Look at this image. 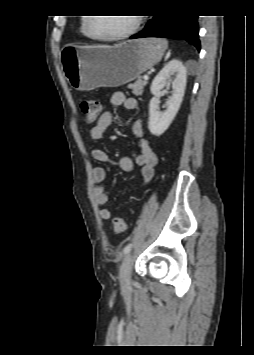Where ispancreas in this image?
I'll list each match as a JSON object with an SVG mask.
<instances>
[{
  "label": "pancreas",
  "mask_w": 254,
  "mask_h": 355,
  "mask_svg": "<svg viewBox=\"0 0 254 355\" xmlns=\"http://www.w3.org/2000/svg\"><path fill=\"white\" fill-rule=\"evenodd\" d=\"M147 84V81L138 79L135 81L133 84H129L128 88L132 89V93L136 96H140L143 93V89L145 85Z\"/></svg>",
  "instance_id": "obj_1"
}]
</instances>
